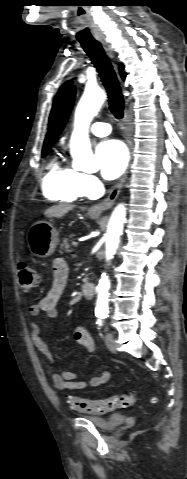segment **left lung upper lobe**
Listing matches in <instances>:
<instances>
[{
	"mask_svg": "<svg viewBox=\"0 0 187 479\" xmlns=\"http://www.w3.org/2000/svg\"><path fill=\"white\" fill-rule=\"evenodd\" d=\"M70 82H66L62 85V87L60 88L56 98H55V101H54V104H53V107H52V110H51V113H50V118H49V125H52L57 114H58V111H59V108L61 106V103L63 101V98L66 94V91H67V88L69 86Z\"/></svg>",
	"mask_w": 187,
	"mask_h": 479,
	"instance_id": "obj_1",
	"label": "left lung upper lobe"
}]
</instances>
